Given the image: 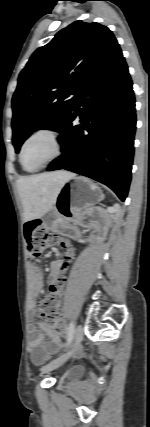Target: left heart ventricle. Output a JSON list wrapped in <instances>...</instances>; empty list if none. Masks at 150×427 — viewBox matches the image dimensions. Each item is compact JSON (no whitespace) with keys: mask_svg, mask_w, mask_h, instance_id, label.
Here are the masks:
<instances>
[{"mask_svg":"<svg viewBox=\"0 0 150 427\" xmlns=\"http://www.w3.org/2000/svg\"><path fill=\"white\" fill-rule=\"evenodd\" d=\"M54 144L45 135L37 136L26 146L23 154V163L26 168L33 169L54 154Z\"/></svg>","mask_w":150,"mask_h":427,"instance_id":"b2bd125f","label":"left heart ventricle"}]
</instances>
